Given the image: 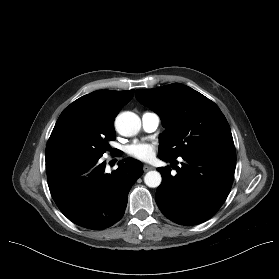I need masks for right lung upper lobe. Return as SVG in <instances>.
<instances>
[{
	"mask_svg": "<svg viewBox=\"0 0 279 279\" xmlns=\"http://www.w3.org/2000/svg\"><path fill=\"white\" fill-rule=\"evenodd\" d=\"M133 95L134 90H98L80 97L69 106L83 107L95 115L102 123L114 126L115 116L131 100Z\"/></svg>",
	"mask_w": 279,
	"mask_h": 279,
	"instance_id": "cb5924a9",
	"label": "right lung upper lobe"
}]
</instances>
